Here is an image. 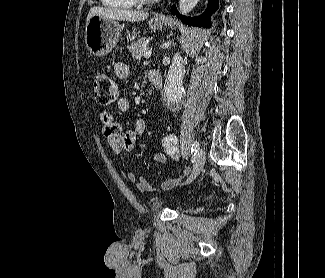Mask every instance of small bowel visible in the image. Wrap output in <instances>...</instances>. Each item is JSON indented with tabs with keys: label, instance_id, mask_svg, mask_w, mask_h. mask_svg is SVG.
Masks as SVG:
<instances>
[{
	"label": "small bowel",
	"instance_id": "small-bowel-1",
	"mask_svg": "<svg viewBox=\"0 0 325 278\" xmlns=\"http://www.w3.org/2000/svg\"><path fill=\"white\" fill-rule=\"evenodd\" d=\"M114 72L118 78L125 79L130 75V68L125 62H117L114 66ZM117 107L121 112H128L131 109L130 102L127 98L121 97L117 101ZM100 121L102 125V133L106 138L107 144L111 150L119 154L123 151H132L137 146L139 139L144 135L146 131V121L143 118H138L134 126L123 132V128L119 123L114 122L113 116L108 112H102L100 114ZM154 163H163L167 161L165 154H157L153 157ZM189 171L184 169L183 172L174 179L165 181L162 184L163 188H169L188 175ZM126 179L130 183H136V186L141 191H152L149 183L144 178L137 179L133 172L126 173Z\"/></svg>",
	"mask_w": 325,
	"mask_h": 278
}]
</instances>
